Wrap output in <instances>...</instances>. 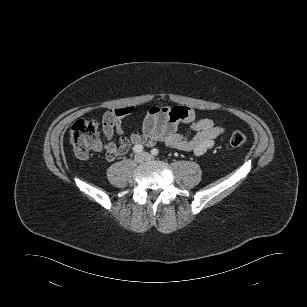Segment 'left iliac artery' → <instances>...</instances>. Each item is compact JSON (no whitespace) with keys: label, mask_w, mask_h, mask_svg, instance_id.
Here are the masks:
<instances>
[{"label":"left iliac artery","mask_w":307,"mask_h":307,"mask_svg":"<svg viewBox=\"0 0 307 307\" xmlns=\"http://www.w3.org/2000/svg\"><path fill=\"white\" fill-rule=\"evenodd\" d=\"M159 153L158 149L154 148L151 150V154L154 155V156H157Z\"/></svg>","instance_id":"obj_1"}]
</instances>
